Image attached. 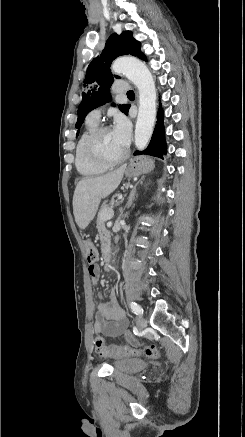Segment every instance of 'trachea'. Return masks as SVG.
Segmentation results:
<instances>
[{
  "instance_id": "trachea-1",
  "label": "trachea",
  "mask_w": 245,
  "mask_h": 437,
  "mask_svg": "<svg viewBox=\"0 0 245 437\" xmlns=\"http://www.w3.org/2000/svg\"><path fill=\"white\" fill-rule=\"evenodd\" d=\"M127 95H128V96H133V95H134V92H133L132 90H130V91L127 92Z\"/></svg>"
}]
</instances>
